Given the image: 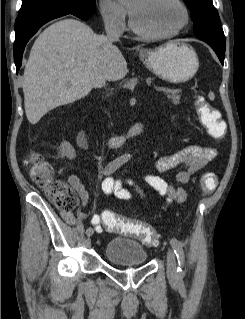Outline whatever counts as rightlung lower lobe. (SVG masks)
Listing matches in <instances>:
<instances>
[{
	"instance_id": "right-lung-lower-lobe-1",
	"label": "right lung lower lobe",
	"mask_w": 245,
	"mask_h": 319,
	"mask_svg": "<svg viewBox=\"0 0 245 319\" xmlns=\"http://www.w3.org/2000/svg\"><path fill=\"white\" fill-rule=\"evenodd\" d=\"M66 14H73L83 20L92 13H85L70 8L53 7L36 11L27 15L18 16L15 22L14 61L17 71L22 64V55L29 39L46 22Z\"/></svg>"
}]
</instances>
